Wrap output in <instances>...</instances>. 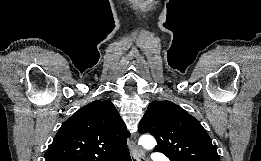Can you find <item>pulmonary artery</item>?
<instances>
[{
	"label": "pulmonary artery",
	"mask_w": 261,
	"mask_h": 161,
	"mask_svg": "<svg viewBox=\"0 0 261 161\" xmlns=\"http://www.w3.org/2000/svg\"><path fill=\"white\" fill-rule=\"evenodd\" d=\"M155 161H170L166 156H157Z\"/></svg>",
	"instance_id": "e3ab8cb5"
}]
</instances>
